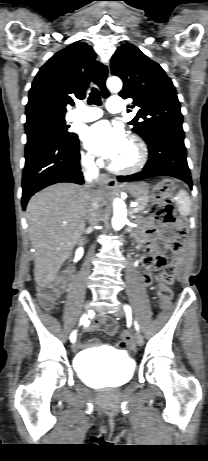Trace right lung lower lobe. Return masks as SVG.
Segmentation results:
<instances>
[{
    "mask_svg": "<svg viewBox=\"0 0 208 461\" xmlns=\"http://www.w3.org/2000/svg\"><path fill=\"white\" fill-rule=\"evenodd\" d=\"M60 182L83 184L78 136L64 140L43 136L26 144L22 178V207L39 190Z\"/></svg>",
    "mask_w": 208,
    "mask_h": 461,
    "instance_id": "right-lung-lower-lobe-1",
    "label": "right lung lower lobe"
}]
</instances>
